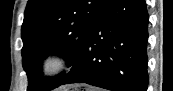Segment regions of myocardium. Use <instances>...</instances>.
Wrapping results in <instances>:
<instances>
[{
	"label": "myocardium",
	"mask_w": 173,
	"mask_h": 91,
	"mask_svg": "<svg viewBox=\"0 0 173 91\" xmlns=\"http://www.w3.org/2000/svg\"><path fill=\"white\" fill-rule=\"evenodd\" d=\"M70 64V58L64 52L50 51L40 60L39 71L45 79L56 78L66 73Z\"/></svg>",
	"instance_id": "obj_1"
}]
</instances>
